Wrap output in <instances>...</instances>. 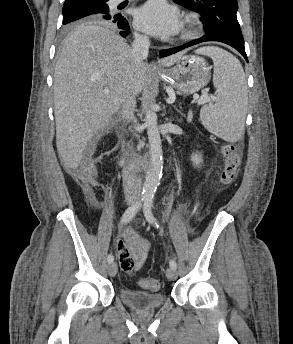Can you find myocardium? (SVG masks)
Masks as SVG:
<instances>
[{"label":"myocardium","mask_w":293,"mask_h":344,"mask_svg":"<svg viewBox=\"0 0 293 344\" xmlns=\"http://www.w3.org/2000/svg\"><path fill=\"white\" fill-rule=\"evenodd\" d=\"M200 32V20L194 15H187L180 34V40L187 41L195 38Z\"/></svg>","instance_id":"myocardium-1"}]
</instances>
